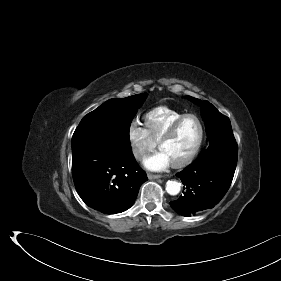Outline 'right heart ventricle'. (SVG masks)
Returning a JSON list of instances; mask_svg holds the SVG:
<instances>
[{"label":"right heart ventricle","mask_w":281,"mask_h":281,"mask_svg":"<svg viewBox=\"0 0 281 281\" xmlns=\"http://www.w3.org/2000/svg\"><path fill=\"white\" fill-rule=\"evenodd\" d=\"M184 113L166 106L151 109L144 115V124L150 136L158 142L169 126Z\"/></svg>","instance_id":"e07e8e85"}]
</instances>
